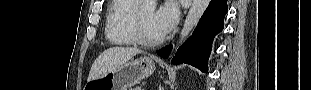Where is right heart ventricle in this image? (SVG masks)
<instances>
[{
    "mask_svg": "<svg viewBox=\"0 0 311 90\" xmlns=\"http://www.w3.org/2000/svg\"><path fill=\"white\" fill-rule=\"evenodd\" d=\"M138 0H114L107 13L105 36L116 45H136L133 32V17L137 11Z\"/></svg>",
    "mask_w": 311,
    "mask_h": 90,
    "instance_id": "1",
    "label": "right heart ventricle"
}]
</instances>
